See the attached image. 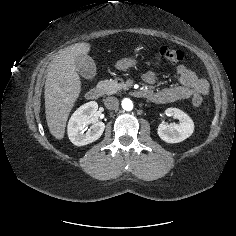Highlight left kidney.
Masks as SVG:
<instances>
[{
  "instance_id": "1",
  "label": "left kidney",
  "mask_w": 236,
  "mask_h": 236,
  "mask_svg": "<svg viewBox=\"0 0 236 236\" xmlns=\"http://www.w3.org/2000/svg\"><path fill=\"white\" fill-rule=\"evenodd\" d=\"M165 113L178 119L179 124L170 126L164 122L160 123L157 133L163 141L167 143H178L192 135L194 123L186 113L177 108H168Z\"/></svg>"
}]
</instances>
